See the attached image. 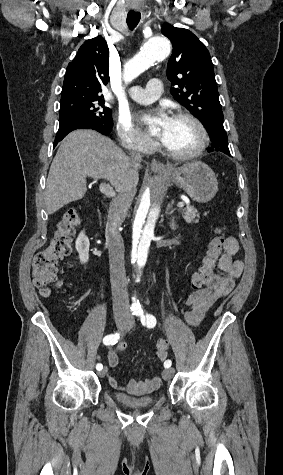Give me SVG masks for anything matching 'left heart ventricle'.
I'll return each mask as SVG.
<instances>
[{
  "label": "left heart ventricle",
  "instance_id": "b2bd125f",
  "mask_svg": "<svg viewBox=\"0 0 283 475\" xmlns=\"http://www.w3.org/2000/svg\"><path fill=\"white\" fill-rule=\"evenodd\" d=\"M156 133L166 148L174 154L189 153L195 148L200 138L199 131L192 122L175 116L171 118L165 137H161L158 130Z\"/></svg>",
  "mask_w": 283,
  "mask_h": 475
}]
</instances>
